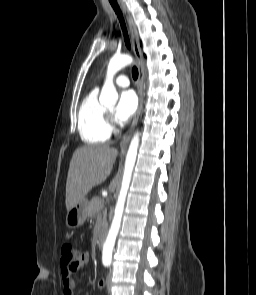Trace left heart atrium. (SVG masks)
Segmentation results:
<instances>
[{
	"label": "left heart atrium",
	"mask_w": 256,
	"mask_h": 295,
	"mask_svg": "<svg viewBox=\"0 0 256 295\" xmlns=\"http://www.w3.org/2000/svg\"><path fill=\"white\" fill-rule=\"evenodd\" d=\"M137 107V98L133 91H124L116 108V119L120 123L128 122L133 116Z\"/></svg>",
	"instance_id": "1"
}]
</instances>
